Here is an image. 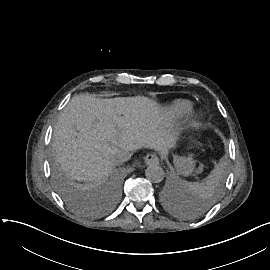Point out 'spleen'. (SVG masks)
<instances>
[{
    "label": "spleen",
    "mask_w": 270,
    "mask_h": 270,
    "mask_svg": "<svg viewBox=\"0 0 270 270\" xmlns=\"http://www.w3.org/2000/svg\"><path fill=\"white\" fill-rule=\"evenodd\" d=\"M220 180V173L217 170H213L209 177L205 180L206 184H218ZM187 187L189 188H197L201 186V183L197 182H189L186 181ZM186 201H188V198H186Z\"/></svg>",
    "instance_id": "1"
}]
</instances>
